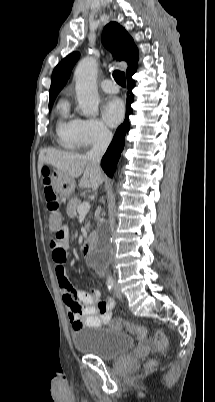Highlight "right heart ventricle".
Listing matches in <instances>:
<instances>
[{
  "label": "right heart ventricle",
  "instance_id": "e07e8e85",
  "mask_svg": "<svg viewBox=\"0 0 215 402\" xmlns=\"http://www.w3.org/2000/svg\"><path fill=\"white\" fill-rule=\"evenodd\" d=\"M57 122H56V135L58 143L66 149H75L78 143L75 137V119L69 108L67 100H60L56 107Z\"/></svg>",
  "mask_w": 215,
  "mask_h": 402
}]
</instances>
